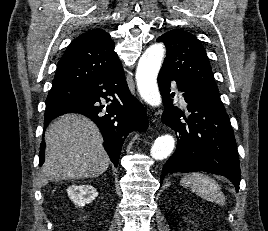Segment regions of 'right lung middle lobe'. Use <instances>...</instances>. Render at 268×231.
<instances>
[{"label":"right lung middle lobe","mask_w":268,"mask_h":231,"mask_svg":"<svg viewBox=\"0 0 268 231\" xmlns=\"http://www.w3.org/2000/svg\"><path fill=\"white\" fill-rule=\"evenodd\" d=\"M84 94V88L73 86L52 87L47 99L46 106L56 105L62 102L77 99Z\"/></svg>","instance_id":"right-lung-middle-lobe-1"}]
</instances>
